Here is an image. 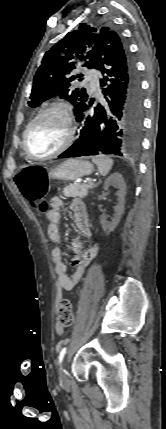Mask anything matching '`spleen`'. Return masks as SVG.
Returning <instances> with one entry per match:
<instances>
[{"label": "spleen", "mask_w": 166, "mask_h": 429, "mask_svg": "<svg viewBox=\"0 0 166 429\" xmlns=\"http://www.w3.org/2000/svg\"><path fill=\"white\" fill-rule=\"evenodd\" d=\"M92 161L97 165L101 175L106 176L113 166V160L105 156L93 157Z\"/></svg>", "instance_id": "spleen-1"}]
</instances>
